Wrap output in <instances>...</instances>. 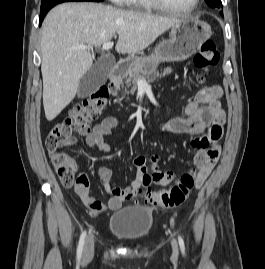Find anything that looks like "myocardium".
Wrapping results in <instances>:
<instances>
[{"label": "myocardium", "instance_id": "obj_1", "mask_svg": "<svg viewBox=\"0 0 265 269\" xmlns=\"http://www.w3.org/2000/svg\"><path fill=\"white\" fill-rule=\"evenodd\" d=\"M147 1L153 8L161 10V11L170 12V13L187 14L194 11L198 7L200 0H194L192 5L186 9H179V8L169 6L162 0H147Z\"/></svg>", "mask_w": 265, "mask_h": 269}]
</instances>
